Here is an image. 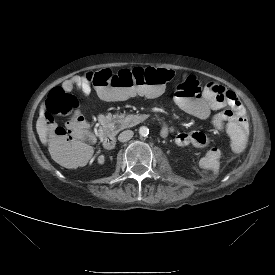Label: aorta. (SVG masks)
Masks as SVG:
<instances>
[{"label": "aorta", "mask_w": 275, "mask_h": 275, "mask_svg": "<svg viewBox=\"0 0 275 275\" xmlns=\"http://www.w3.org/2000/svg\"><path fill=\"white\" fill-rule=\"evenodd\" d=\"M139 134L141 136H147L149 134V129L147 127H145V126H141L139 128Z\"/></svg>", "instance_id": "1"}]
</instances>
